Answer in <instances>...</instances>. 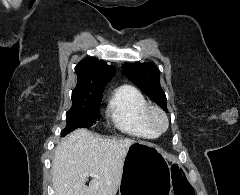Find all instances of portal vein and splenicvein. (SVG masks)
Wrapping results in <instances>:
<instances>
[{
  "instance_id": "18ae733b",
  "label": "portal vein and splenic vein",
  "mask_w": 240,
  "mask_h": 195,
  "mask_svg": "<svg viewBox=\"0 0 240 195\" xmlns=\"http://www.w3.org/2000/svg\"><path fill=\"white\" fill-rule=\"evenodd\" d=\"M91 177H97V175H94V173H90Z\"/></svg>"
}]
</instances>
